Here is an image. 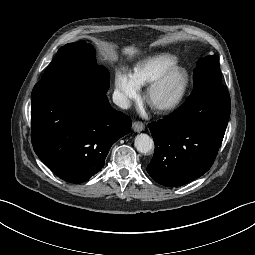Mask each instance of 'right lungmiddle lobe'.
I'll return each mask as SVG.
<instances>
[{
  "instance_id": "obj_1",
  "label": "right lung middle lobe",
  "mask_w": 255,
  "mask_h": 255,
  "mask_svg": "<svg viewBox=\"0 0 255 255\" xmlns=\"http://www.w3.org/2000/svg\"><path fill=\"white\" fill-rule=\"evenodd\" d=\"M44 77L79 78L104 93L109 89V73L97 65L93 46L84 41L61 47L45 70Z\"/></svg>"
}]
</instances>
